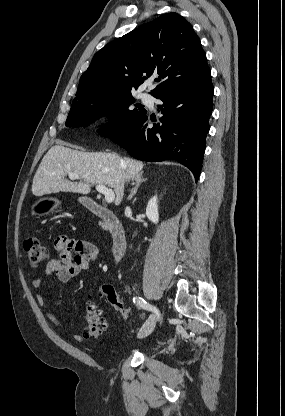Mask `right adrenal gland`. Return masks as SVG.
Masks as SVG:
<instances>
[{"instance_id": "1", "label": "right adrenal gland", "mask_w": 285, "mask_h": 416, "mask_svg": "<svg viewBox=\"0 0 285 416\" xmlns=\"http://www.w3.org/2000/svg\"><path fill=\"white\" fill-rule=\"evenodd\" d=\"M147 178H144V176H136L135 178V188H133V190H131V194L130 196H128L127 200H132L133 196H135L140 184H142V182H146Z\"/></svg>"}]
</instances>
